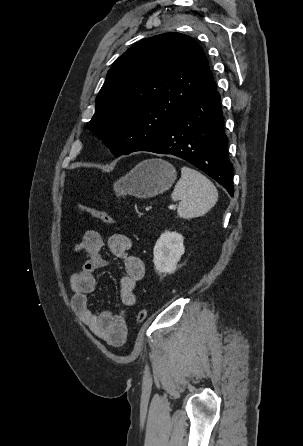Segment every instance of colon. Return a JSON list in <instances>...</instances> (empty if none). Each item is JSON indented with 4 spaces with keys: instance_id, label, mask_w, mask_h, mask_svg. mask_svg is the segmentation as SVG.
Returning <instances> with one entry per match:
<instances>
[{
    "instance_id": "obj_1",
    "label": "colon",
    "mask_w": 303,
    "mask_h": 446,
    "mask_svg": "<svg viewBox=\"0 0 303 446\" xmlns=\"http://www.w3.org/2000/svg\"><path fill=\"white\" fill-rule=\"evenodd\" d=\"M78 208L82 211L87 213L88 215L92 216L93 218H96L100 221H102L104 224L113 226L115 224L114 218L105 210L95 208L86 204H79ZM148 315V310L143 308L141 309L136 317V320L138 322H143Z\"/></svg>"
}]
</instances>
